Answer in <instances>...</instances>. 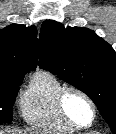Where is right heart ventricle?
Returning <instances> with one entry per match:
<instances>
[{
  "label": "right heart ventricle",
  "mask_w": 116,
  "mask_h": 134,
  "mask_svg": "<svg viewBox=\"0 0 116 134\" xmlns=\"http://www.w3.org/2000/svg\"><path fill=\"white\" fill-rule=\"evenodd\" d=\"M64 85L50 72L37 71L21 94V116L32 127L57 133H72L76 128L60 116L57 95Z\"/></svg>",
  "instance_id": "obj_1"
}]
</instances>
